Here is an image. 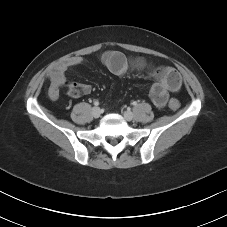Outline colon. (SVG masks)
<instances>
[{"label":"colon","mask_w":227,"mask_h":227,"mask_svg":"<svg viewBox=\"0 0 227 227\" xmlns=\"http://www.w3.org/2000/svg\"><path fill=\"white\" fill-rule=\"evenodd\" d=\"M157 77L169 86H178L180 84L178 72L171 67H161L157 71ZM168 106L171 110H178L180 103L177 99L172 98L169 100Z\"/></svg>","instance_id":"obj_1"}]
</instances>
